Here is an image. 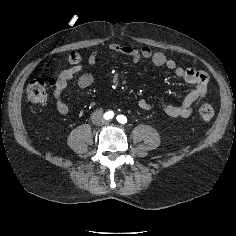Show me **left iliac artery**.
Here are the masks:
<instances>
[{"mask_svg":"<svg viewBox=\"0 0 236 236\" xmlns=\"http://www.w3.org/2000/svg\"><path fill=\"white\" fill-rule=\"evenodd\" d=\"M117 121L121 124H125V123H127V118L124 115H118L117 116Z\"/></svg>","mask_w":236,"mask_h":236,"instance_id":"1","label":"left iliac artery"}]
</instances>
